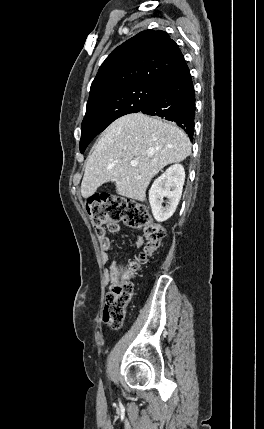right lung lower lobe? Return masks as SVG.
I'll return each instance as SVG.
<instances>
[{
  "label": "right lung lower lobe",
  "mask_w": 264,
  "mask_h": 429,
  "mask_svg": "<svg viewBox=\"0 0 264 429\" xmlns=\"http://www.w3.org/2000/svg\"><path fill=\"white\" fill-rule=\"evenodd\" d=\"M140 112L176 122L193 140L195 92L184 59L159 82Z\"/></svg>",
  "instance_id": "right-lung-lower-lobe-1"
}]
</instances>
